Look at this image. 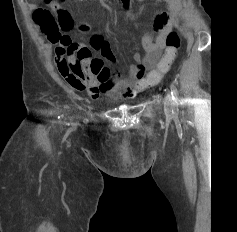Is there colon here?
Listing matches in <instances>:
<instances>
[{
  "mask_svg": "<svg viewBox=\"0 0 237 232\" xmlns=\"http://www.w3.org/2000/svg\"><path fill=\"white\" fill-rule=\"evenodd\" d=\"M63 1V0H62ZM49 9H36L33 18L40 29L45 33L49 42L67 44L71 41L69 32L74 27L70 13L62 7L61 2L45 0ZM88 27L81 25L80 30L86 31ZM180 47V38L175 31H171L166 38V49L163 57L155 70L149 72L146 77L148 87L159 84L167 72H169Z\"/></svg>",
  "mask_w": 237,
  "mask_h": 232,
  "instance_id": "colon-1",
  "label": "colon"
}]
</instances>
